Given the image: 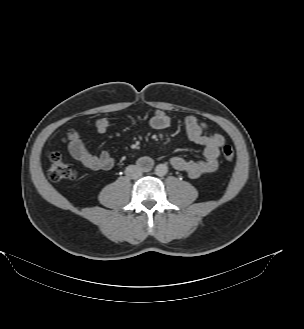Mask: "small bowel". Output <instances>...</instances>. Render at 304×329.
<instances>
[{"label": "small bowel", "mask_w": 304, "mask_h": 329, "mask_svg": "<svg viewBox=\"0 0 304 329\" xmlns=\"http://www.w3.org/2000/svg\"><path fill=\"white\" fill-rule=\"evenodd\" d=\"M171 118L163 111L155 112L149 124L155 129H165L171 125ZM111 125V119L100 117L94 123V130L98 134L105 133ZM186 133L190 140L203 147V158L196 161L187 160L181 156H173L171 165L174 169L186 173L191 179L213 173L218 168V157L221 147L225 144V137L219 133L206 134L207 126L195 116L189 115L184 120ZM70 152L83 166L92 170H109L114 160L108 151L94 154L86 142L77 133L70 135Z\"/></svg>", "instance_id": "1"}]
</instances>
